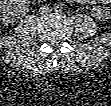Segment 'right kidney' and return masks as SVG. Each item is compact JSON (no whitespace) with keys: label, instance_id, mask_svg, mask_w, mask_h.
Instances as JSON below:
<instances>
[{"label":"right kidney","instance_id":"ca27d5eb","mask_svg":"<svg viewBox=\"0 0 111 106\" xmlns=\"http://www.w3.org/2000/svg\"><path fill=\"white\" fill-rule=\"evenodd\" d=\"M1 16H2V20L6 23V24H10V23H14L17 18H19L17 12L20 11V9L18 8V6L13 3V1L10 2H6V1H2L1 2Z\"/></svg>","mask_w":111,"mask_h":106}]
</instances>
